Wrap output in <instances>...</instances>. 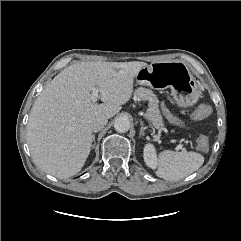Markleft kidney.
<instances>
[{
    "label": "left kidney",
    "instance_id": "obj_1",
    "mask_svg": "<svg viewBox=\"0 0 241 241\" xmlns=\"http://www.w3.org/2000/svg\"><path fill=\"white\" fill-rule=\"evenodd\" d=\"M144 161L146 165L152 169H155L157 166V156L155 148L152 144H147L144 147L143 153Z\"/></svg>",
    "mask_w": 241,
    "mask_h": 241
}]
</instances>
